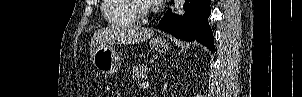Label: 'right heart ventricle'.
<instances>
[{
  "mask_svg": "<svg viewBox=\"0 0 302 97\" xmlns=\"http://www.w3.org/2000/svg\"><path fill=\"white\" fill-rule=\"evenodd\" d=\"M130 0H104L102 13L106 21L113 26H134L138 23L137 17L129 6Z\"/></svg>",
  "mask_w": 302,
  "mask_h": 97,
  "instance_id": "obj_1",
  "label": "right heart ventricle"
}]
</instances>
